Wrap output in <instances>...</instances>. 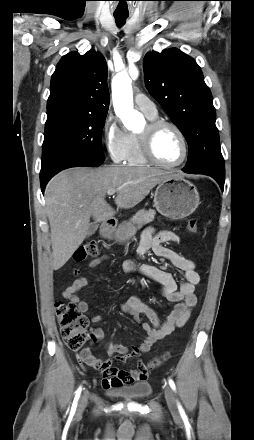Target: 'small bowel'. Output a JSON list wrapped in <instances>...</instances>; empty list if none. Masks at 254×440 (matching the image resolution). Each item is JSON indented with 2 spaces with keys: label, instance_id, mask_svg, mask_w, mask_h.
Segmentation results:
<instances>
[{
  "label": "small bowel",
  "instance_id": "1",
  "mask_svg": "<svg viewBox=\"0 0 254 440\" xmlns=\"http://www.w3.org/2000/svg\"><path fill=\"white\" fill-rule=\"evenodd\" d=\"M179 242V237L170 231L156 232L154 228H147L141 236L137 248V256H144L148 251H152L156 256L168 260L173 266L180 269L184 276L177 281L173 276L159 268L150 265L137 266L135 260H127L123 264L124 271L127 273L139 272L147 278L155 281L161 287V293L165 298L174 303V309L168 317L161 322L153 309L142 303L136 296L127 298L122 304L121 309L133 315L134 319L140 323L146 336L143 341L132 347L110 343L107 346V353L117 361L123 362L128 358H138L140 355L149 351L150 347L159 339L172 333L176 328L185 325L189 320L192 308L196 305L197 297L195 288L200 282V275L196 271L193 260L186 258L175 250L165 247L164 243ZM105 257L97 258L90 262L89 268L97 267ZM86 277L76 278L64 291L63 297L75 304L80 312H87L89 305L78 296V292L88 285ZM144 315L149 320L142 322L140 316ZM93 323L104 321L103 315L91 317ZM104 330L101 327H94L91 330L92 339H103ZM80 359L88 366L101 371L102 385L104 388L119 387L136 382L147 380L148 372L142 361L137 362V366L132 370H123L116 367L111 360H102L95 357L89 348H85L79 354Z\"/></svg>",
  "mask_w": 254,
  "mask_h": 440
}]
</instances>
